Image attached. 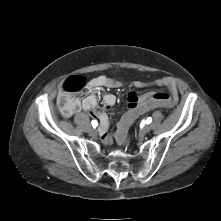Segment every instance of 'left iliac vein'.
Listing matches in <instances>:
<instances>
[{
	"label": "left iliac vein",
	"mask_w": 221,
	"mask_h": 221,
	"mask_svg": "<svg viewBox=\"0 0 221 221\" xmlns=\"http://www.w3.org/2000/svg\"><path fill=\"white\" fill-rule=\"evenodd\" d=\"M150 130H151V126L146 125L142 128V133L146 134V133L150 132Z\"/></svg>",
	"instance_id": "obj_1"
}]
</instances>
